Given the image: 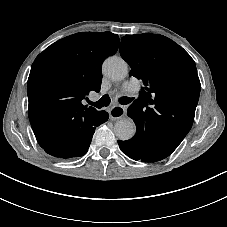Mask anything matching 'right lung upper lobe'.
<instances>
[{
    "label": "right lung upper lobe",
    "instance_id": "1",
    "mask_svg": "<svg viewBox=\"0 0 227 227\" xmlns=\"http://www.w3.org/2000/svg\"><path fill=\"white\" fill-rule=\"evenodd\" d=\"M119 46L111 32H81L65 37L40 53L32 64L27 83L32 129L49 133L74 120L107 121L108 114L84 106L90 91L99 92L101 66Z\"/></svg>",
    "mask_w": 227,
    "mask_h": 227
}]
</instances>
